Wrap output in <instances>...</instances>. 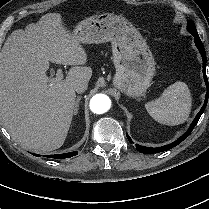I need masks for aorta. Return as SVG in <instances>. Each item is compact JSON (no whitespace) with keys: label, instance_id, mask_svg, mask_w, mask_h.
I'll return each instance as SVG.
<instances>
[{"label":"aorta","instance_id":"obj_1","mask_svg":"<svg viewBox=\"0 0 209 209\" xmlns=\"http://www.w3.org/2000/svg\"><path fill=\"white\" fill-rule=\"evenodd\" d=\"M90 110L95 114H103L111 107V100L105 94H96L90 100Z\"/></svg>","mask_w":209,"mask_h":209}]
</instances>
